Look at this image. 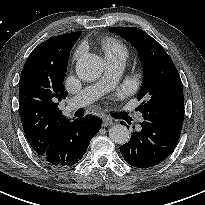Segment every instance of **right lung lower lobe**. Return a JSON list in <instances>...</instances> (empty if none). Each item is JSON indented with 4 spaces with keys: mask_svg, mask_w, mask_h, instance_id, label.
Here are the masks:
<instances>
[{
    "mask_svg": "<svg viewBox=\"0 0 205 205\" xmlns=\"http://www.w3.org/2000/svg\"><path fill=\"white\" fill-rule=\"evenodd\" d=\"M100 126V120L90 116L66 122L40 157L58 167L76 164L82 159Z\"/></svg>",
    "mask_w": 205,
    "mask_h": 205,
    "instance_id": "98d812e1",
    "label": "right lung lower lobe"
}]
</instances>
